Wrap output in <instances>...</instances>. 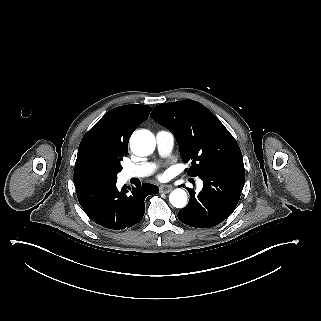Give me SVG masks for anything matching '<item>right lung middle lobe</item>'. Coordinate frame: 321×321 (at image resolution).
<instances>
[{
    "instance_id": "1",
    "label": "right lung middle lobe",
    "mask_w": 321,
    "mask_h": 321,
    "mask_svg": "<svg viewBox=\"0 0 321 321\" xmlns=\"http://www.w3.org/2000/svg\"><path fill=\"white\" fill-rule=\"evenodd\" d=\"M123 154H112L101 148H92L84 154V164L88 171L98 180L116 181L122 170L120 164Z\"/></svg>"
}]
</instances>
